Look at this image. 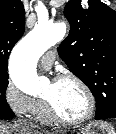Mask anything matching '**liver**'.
<instances>
[{
    "mask_svg": "<svg viewBox=\"0 0 116 134\" xmlns=\"http://www.w3.org/2000/svg\"><path fill=\"white\" fill-rule=\"evenodd\" d=\"M0 134H36L32 130L24 131L17 125H8L0 122Z\"/></svg>",
    "mask_w": 116,
    "mask_h": 134,
    "instance_id": "1",
    "label": "liver"
}]
</instances>
